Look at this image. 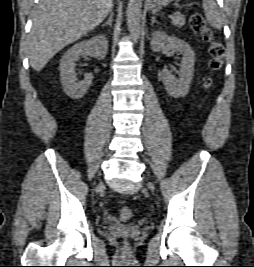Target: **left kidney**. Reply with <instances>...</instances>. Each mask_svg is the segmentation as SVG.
<instances>
[{"instance_id": "obj_1", "label": "left kidney", "mask_w": 254, "mask_h": 267, "mask_svg": "<svg viewBox=\"0 0 254 267\" xmlns=\"http://www.w3.org/2000/svg\"><path fill=\"white\" fill-rule=\"evenodd\" d=\"M171 49L182 55L180 70L176 71L179 78L172 75V70L164 69L161 73L167 93L174 98L188 94L194 74L195 53L188 43L174 36H168L161 31H154L151 39L153 52Z\"/></svg>"}]
</instances>
